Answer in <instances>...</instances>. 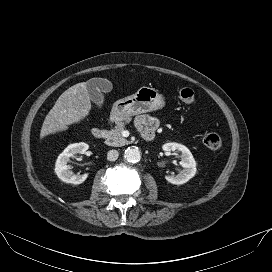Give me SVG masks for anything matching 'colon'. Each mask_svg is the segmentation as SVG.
Wrapping results in <instances>:
<instances>
[{
  "mask_svg": "<svg viewBox=\"0 0 272 272\" xmlns=\"http://www.w3.org/2000/svg\"><path fill=\"white\" fill-rule=\"evenodd\" d=\"M179 99L185 104H193L195 102V93L191 88H183L179 91ZM204 145L210 150H219L222 147L221 138L215 133H208L203 137Z\"/></svg>",
  "mask_w": 272,
  "mask_h": 272,
  "instance_id": "5ec220e1",
  "label": "colon"
}]
</instances>
